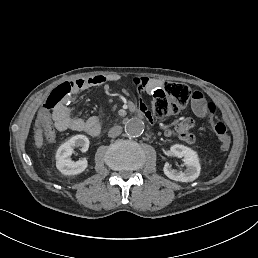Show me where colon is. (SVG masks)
Masks as SVG:
<instances>
[{
    "instance_id": "obj_1",
    "label": "colon",
    "mask_w": 258,
    "mask_h": 258,
    "mask_svg": "<svg viewBox=\"0 0 258 258\" xmlns=\"http://www.w3.org/2000/svg\"><path fill=\"white\" fill-rule=\"evenodd\" d=\"M75 89V84L72 81L59 84L47 97L41 114L49 116L55 109L67 103ZM190 96L191 90L187 85L178 82H167L161 88L152 92V113L157 118L173 115L186 105ZM206 109L209 116L216 111V107L212 102H207ZM212 130L220 141L221 150L223 152L228 151L231 145V138L225 124L222 122L213 123Z\"/></svg>"
}]
</instances>
